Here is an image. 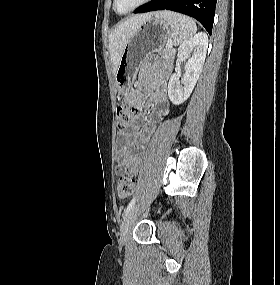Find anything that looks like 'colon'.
Wrapping results in <instances>:
<instances>
[{"mask_svg": "<svg viewBox=\"0 0 280 285\" xmlns=\"http://www.w3.org/2000/svg\"><path fill=\"white\" fill-rule=\"evenodd\" d=\"M135 118V108L131 105L122 104L117 107L116 111V125L119 131L127 129ZM135 188V180L121 173L117 182V192L119 197H128Z\"/></svg>", "mask_w": 280, "mask_h": 285, "instance_id": "obj_1", "label": "colon"}]
</instances>
